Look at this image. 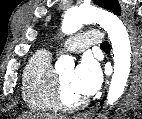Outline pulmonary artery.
Wrapping results in <instances>:
<instances>
[{
	"label": "pulmonary artery",
	"mask_w": 142,
	"mask_h": 119,
	"mask_svg": "<svg viewBox=\"0 0 142 119\" xmlns=\"http://www.w3.org/2000/svg\"><path fill=\"white\" fill-rule=\"evenodd\" d=\"M103 43L101 32L98 29H90L85 33L76 35L65 40L62 46L70 52L79 53L93 45Z\"/></svg>",
	"instance_id": "pulmonary-artery-1"
}]
</instances>
